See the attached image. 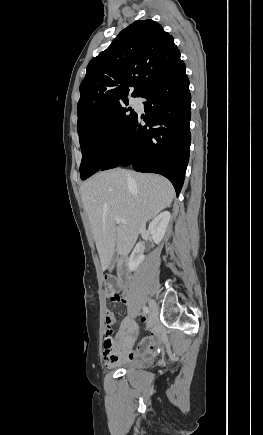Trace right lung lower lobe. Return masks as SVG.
Segmentation results:
<instances>
[{
	"label": "right lung lower lobe",
	"mask_w": 263,
	"mask_h": 435,
	"mask_svg": "<svg viewBox=\"0 0 263 435\" xmlns=\"http://www.w3.org/2000/svg\"><path fill=\"white\" fill-rule=\"evenodd\" d=\"M182 62L141 97L145 116L137 115L127 135L100 170L131 165L136 171L167 177L178 195L189 161L191 96ZM146 122L141 125V120Z\"/></svg>",
	"instance_id": "98d812e1"
}]
</instances>
